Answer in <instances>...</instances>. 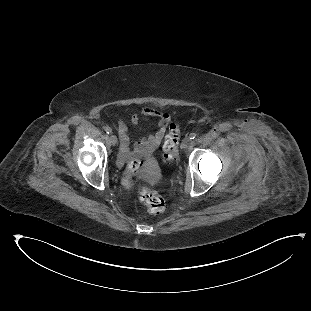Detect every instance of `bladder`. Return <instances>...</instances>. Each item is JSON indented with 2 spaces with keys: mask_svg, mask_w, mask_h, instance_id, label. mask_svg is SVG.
Segmentation results:
<instances>
[{
  "mask_svg": "<svg viewBox=\"0 0 311 311\" xmlns=\"http://www.w3.org/2000/svg\"><path fill=\"white\" fill-rule=\"evenodd\" d=\"M156 159H157L156 156H151L145 161L147 162L145 168L143 169V174L145 177H150L152 175L153 173L152 165L156 163ZM144 163L140 166V168L143 167Z\"/></svg>",
  "mask_w": 311,
  "mask_h": 311,
  "instance_id": "31cf9c89",
  "label": "bladder"
}]
</instances>
